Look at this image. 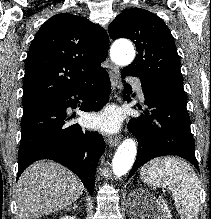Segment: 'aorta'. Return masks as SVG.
Instances as JSON below:
<instances>
[{"mask_svg":"<svg viewBox=\"0 0 211 219\" xmlns=\"http://www.w3.org/2000/svg\"><path fill=\"white\" fill-rule=\"evenodd\" d=\"M135 57V50L129 41L114 44L111 50V58L116 65L127 66ZM137 153L136 143L132 139H126L118 147L113 161V173L120 177L125 175L132 167Z\"/></svg>","mask_w":211,"mask_h":219,"instance_id":"1","label":"aorta"}]
</instances>
